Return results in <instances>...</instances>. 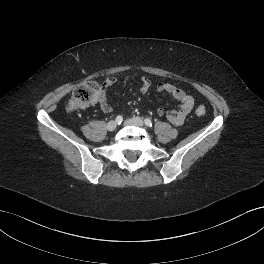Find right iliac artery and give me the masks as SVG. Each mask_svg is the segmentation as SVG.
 I'll use <instances>...</instances> for the list:
<instances>
[{"label":"right iliac artery","instance_id":"obj_1","mask_svg":"<svg viewBox=\"0 0 264 264\" xmlns=\"http://www.w3.org/2000/svg\"><path fill=\"white\" fill-rule=\"evenodd\" d=\"M122 121H123V117L121 115H119V116L116 117V122L118 124H121Z\"/></svg>","mask_w":264,"mask_h":264}]
</instances>
